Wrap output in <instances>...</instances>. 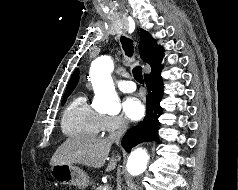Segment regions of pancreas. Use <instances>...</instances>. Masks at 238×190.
<instances>
[{
  "instance_id": "pancreas-1",
  "label": "pancreas",
  "mask_w": 238,
  "mask_h": 190,
  "mask_svg": "<svg viewBox=\"0 0 238 190\" xmlns=\"http://www.w3.org/2000/svg\"><path fill=\"white\" fill-rule=\"evenodd\" d=\"M94 190H110V188L108 187V188L106 189L105 186L100 185V186H98V187H97L96 189H94Z\"/></svg>"
}]
</instances>
